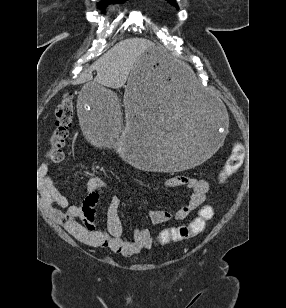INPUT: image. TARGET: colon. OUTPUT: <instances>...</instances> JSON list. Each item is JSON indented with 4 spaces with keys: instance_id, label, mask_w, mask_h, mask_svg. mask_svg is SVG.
I'll return each instance as SVG.
<instances>
[{
    "instance_id": "5ec220e1",
    "label": "colon",
    "mask_w": 286,
    "mask_h": 308,
    "mask_svg": "<svg viewBox=\"0 0 286 308\" xmlns=\"http://www.w3.org/2000/svg\"><path fill=\"white\" fill-rule=\"evenodd\" d=\"M74 116V104L72 97L66 94L58 104L55 113V124L51 132L48 151L49 159L54 163H59L63 159V147L69 135L72 119ZM245 149L241 143L233 145L219 179L225 182L231 177L243 164ZM213 208L210 205L203 206L198 216L189 224L163 229L157 235V242L160 245H166L174 241H182L194 237L205 229L206 222L213 216Z\"/></svg>"
}]
</instances>
